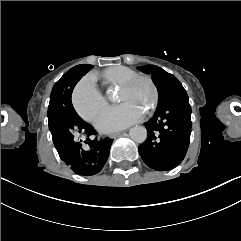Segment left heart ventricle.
Instances as JSON below:
<instances>
[{"instance_id": "b2bd125f", "label": "left heart ventricle", "mask_w": 241, "mask_h": 241, "mask_svg": "<svg viewBox=\"0 0 241 241\" xmlns=\"http://www.w3.org/2000/svg\"><path fill=\"white\" fill-rule=\"evenodd\" d=\"M151 81L148 80V78H141L140 80H135L131 83L128 86V89L123 92V99L125 100L126 105L138 110L148 109L154 92V85ZM118 95L120 96V92Z\"/></svg>"}]
</instances>
